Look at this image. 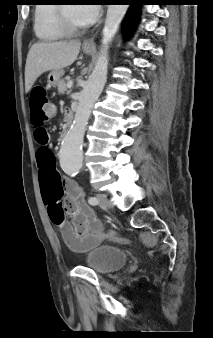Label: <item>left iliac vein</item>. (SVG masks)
I'll use <instances>...</instances> for the list:
<instances>
[{
  "mask_svg": "<svg viewBox=\"0 0 213 338\" xmlns=\"http://www.w3.org/2000/svg\"><path fill=\"white\" fill-rule=\"evenodd\" d=\"M97 199L99 201V206L104 209V210H108L111 209V203L108 199V197L104 194H98L97 195Z\"/></svg>",
  "mask_w": 213,
  "mask_h": 338,
  "instance_id": "4c4485c4",
  "label": "left iliac vein"
}]
</instances>
